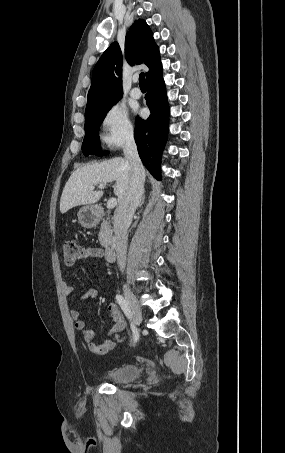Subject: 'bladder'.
<instances>
[{"mask_svg":"<svg viewBox=\"0 0 285 453\" xmlns=\"http://www.w3.org/2000/svg\"><path fill=\"white\" fill-rule=\"evenodd\" d=\"M140 369L133 364L120 365L102 372V377L113 383L130 382L138 378Z\"/></svg>","mask_w":285,"mask_h":453,"instance_id":"bladder-1","label":"bladder"}]
</instances>
